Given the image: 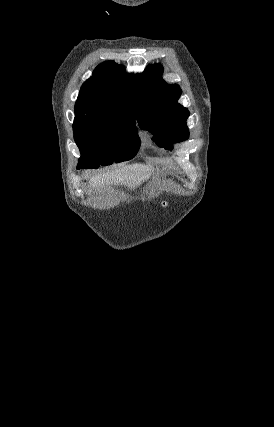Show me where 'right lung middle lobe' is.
<instances>
[{"label":"right lung middle lobe","instance_id":"1","mask_svg":"<svg viewBox=\"0 0 274 427\" xmlns=\"http://www.w3.org/2000/svg\"><path fill=\"white\" fill-rule=\"evenodd\" d=\"M74 139L81 152L78 168H98L132 159L139 140L137 114L126 110L75 113Z\"/></svg>","mask_w":274,"mask_h":427}]
</instances>
